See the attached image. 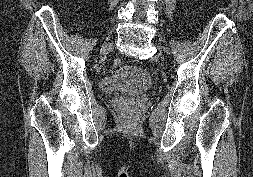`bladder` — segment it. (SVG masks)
<instances>
[{
  "label": "bladder",
  "instance_id": "bladder-1",
  "mask_svg": "<svg viewBox=\"0 0 253 177\" xmlns=\"http://www.w3.org/2000/svg\"><path fill=\"white\" fill-rule=\"evenodd\" d=\"M151 86L152 79L147 70L135 65L120 66L100 81V89L104 93L141 91Z\"/></svg>",
  "mask_w": 253,
  "mask_h": 177
}]
</instances>
